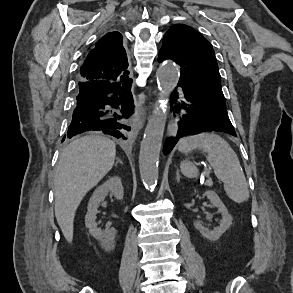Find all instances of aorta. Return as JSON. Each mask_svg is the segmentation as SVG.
I'll return each instance as SVG.
<instances>
[{"instance_id":"762f6f07","label":"aorta","mask_w":293,"mask_h":293,"mask_svg":"<svg viewBox=\"0 0 293 293\" xmlns=\"http://www.w3.org/2000/svg\"><path fill=\"white\" fill-rule=\"evenodd\" d=\"M159 100L149 119L139 154L140 176L146 188L152 189L158 180V162L166 124L167 101L179 81V70L172 61H165L157 71Z\"/></svg>"}]
</instances>
